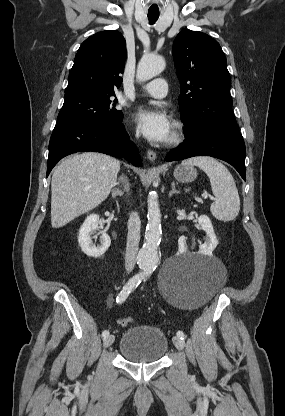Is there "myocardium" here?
Returning a JSON list of instances; mask_svg holds the SVG:
<instances>
[{
	"mask_svg": "<svg viewBox=\"0 0 285 416\" xmlns=\"http://www.w3.org/2000/svg\"><path fill=\"white\" fill-rule=\"evenodd\" d=\"M179 139H180V133H179V130L176 129L174 131L171 139L169 140V144H171V145L176 144V143H178Z\"/></svg>",
	"mask_w": 285,
	"mask_h": 416,
	"instance_id": "1",
	"label": "myocardium"
}]
</instances>
